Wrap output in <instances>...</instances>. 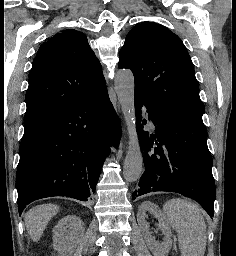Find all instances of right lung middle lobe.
<instances>
[{
    "mask_svg": "<svg viewBox=\"0 0 236 256\" xmlns=\"http://www.w3.org/2000/svg\"><path fill=\"white\" fill-rule=\"evenodd\" d=\"M43 122H24V133H27L39 125H41Z\"/></svg>",
    "mask_w": 236,
    "mask_h": 256,
    "instance_id": "obj_1",
    "label": "right lung middle lobe"
}]
</instances>
